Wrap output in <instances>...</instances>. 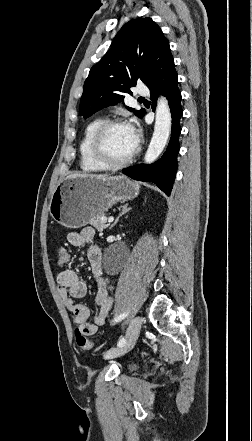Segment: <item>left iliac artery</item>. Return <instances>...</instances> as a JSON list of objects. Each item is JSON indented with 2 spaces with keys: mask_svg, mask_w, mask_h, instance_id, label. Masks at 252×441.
Instances as JSON below:
<instances>
[{
  "mask_svg": "<svg viewBox=\"0 0 252 441\" xmlns=\"http://www.w3.org/2000/svg\"><path fill=\"white\" fill-rule=\"evenodd\" d=\"M128 313H129V312H126V313H123V314L117 316L116 318H114L113 322H114V323H115V322H120L121 320H123V319L128 315ZM124 344H125V339H124V337H121V338L119 339L118 343H117V346H118V347H121V346H123Z\"/></svg>",
  "mask_w": 252,
  "mask_h": 441,
  "instance_id": "1",
  "label": "left iliac artery"
}]
</instances>
